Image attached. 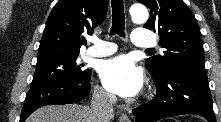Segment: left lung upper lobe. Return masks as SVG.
<instances>
[{"mask_svg": "<svg viewBox=\"0 0 221 122\" xmlns=\"http://www.w3.org/2000/svg\"><path fill=\"white\" fill-rule=\"evenodd\" d=\"M151 10L145 28L158 31L164 55L150 57L146 67L155 77H163L179 67L205 70L204 50L197 21L182 0H138Z\"/></svg>", "mask_w": 221, "mask_h": 122, "instance_id": "left-lung-upper-lobe-1", "label": "left lung upper lobe"}]
</instances>
